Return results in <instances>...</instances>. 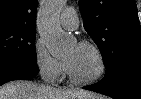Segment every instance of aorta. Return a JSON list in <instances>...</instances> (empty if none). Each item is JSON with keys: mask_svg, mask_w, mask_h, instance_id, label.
Returning a JSON list of instances; mask_svg holds the SVG:
<instances>
[{"mask_svg": "<svg viewBox=\"0 0 141 99\" xmlns=\"http://www.w3.org/2000/svg\"><path fill=\"white\" fill-rule=\"evenodd\" d=\"M63 4L64 0H46L38 16L39 35L53 56L64 54L73 44V38L63 33L59 24Z\"/></svg>", "mask_w": 141, "mask_h": 99, "instance_id": "obj_1", "label": "aorta"}]
</instances>
